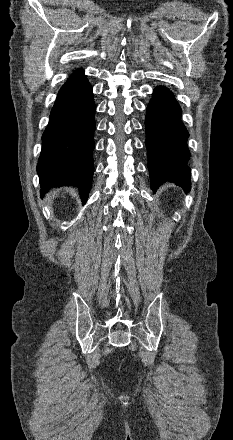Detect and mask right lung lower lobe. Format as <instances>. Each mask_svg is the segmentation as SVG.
Listing matches in <instances>:
<instances>
[{
	"label": "right lung lower lobe",
	"instance_id": "obj_1",
	"mask_svg": "<svg viewBox=\"0 0 233 440\" xmlns=\"http://www.w3.org/2000/svg\"><path fill=\"white\" fill-rule=\"evenodd\" d=\"M95 109L92 87L79 69L61 87L42 136L37 164L42 196L50 187L76 185L86 202L94 171Z\"/></svg>",
	"mask_w": 233,
	"mask_h": 440
}]
</instances>
